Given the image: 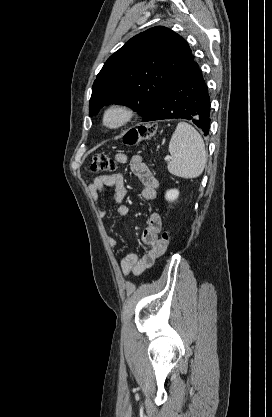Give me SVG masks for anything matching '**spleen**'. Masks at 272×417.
Wrapping results in <instances>:
<instances>
[{"instance_id": "spleen-1", "label": "spleen", "mask_w": 272, "mask_h": 417, "mask_svg": "<svg viewBox=\"0 0 272 417\" xmlns=\"http://www.w3.org/2000/svg\"><path fill=\"white\" fill-rule=\"evenodd\" d=\"M171 160L167 168L175 176L196 178L203 172L207 154L204 141L194 127L186 122L177 124L169 142Z\"/></svg>"}]
</instances>
